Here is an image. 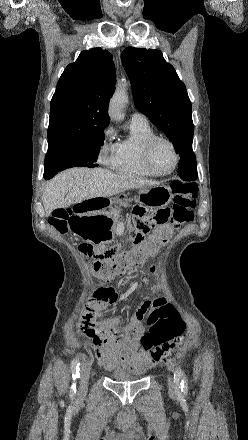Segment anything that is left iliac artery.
Wrapping results in <instances>:
<instances>
[{
    "instance_id": "obj_1",
    "label": "left iliac artery",
    "mask_w": 248,
    "mask_h": 440,
    "mask_svg": "<svg viewBox=\"0 0 248 440\" xmlns=\"http://www.w3.org/2000/svg\"><path fill=\"white\" fill-rule=\"evenodd\" d=\"M174 383L181 387V391L184 394L188 393V382H187V378L185 376L184 371L180 368L177 367L174 371Z\"/></svg>"
}]
</instances>
